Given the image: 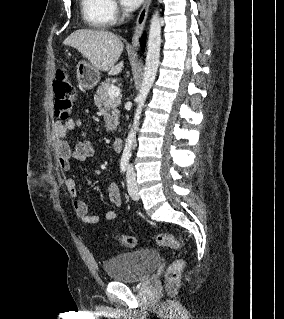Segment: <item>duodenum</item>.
I'll list each match as a JSON object with an SVG mask.
<instances>
[{
  "mask_svg": "<svg viewBox=\"0 0 284 319\" xmlns=\"http://www.w3.org/2000/svg\"><path fill=\"white\" fill-rule=\"evenodd\" d=\"M113 147L116 151H120L123 147V139L121 137H116L113 140Z\"/></svg>",
  "mask_w": 284,
  "mask_h": 319,
  "instance_id": "410a0bca",
  "label": "duodenum"
}]
</instances>
